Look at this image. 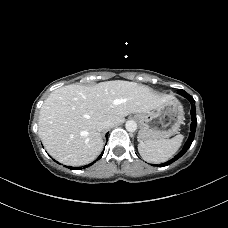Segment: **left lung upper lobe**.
Masks as SVG:
<instances>
[{
  "label": "left lung upper lobe",
  "mask_w": 228,
  "mask_h": 228,
  "mask_svg": "<svg viewBox=\"0 0 228 228\" xmlns=\"http://www.w3.org/2000/svg\"><path fill=\"white\" fill-rule=\"evenodd\" d=\"M178 93L183 96V94L186 92L184 90H179Z\"/></svg>",
  "instance_id": "1"
}]
</instances>
